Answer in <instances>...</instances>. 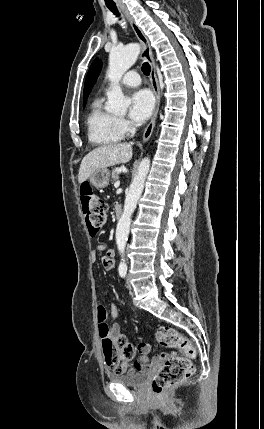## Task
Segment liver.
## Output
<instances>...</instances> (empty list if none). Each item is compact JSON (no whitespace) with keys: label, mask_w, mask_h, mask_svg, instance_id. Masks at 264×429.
<instances>
[{"label":"liver","mask_w":264,"mask_h":429,"mask_svg":"<svg viewBox=\"0 0 264 429\" xmlns=\"http://www.w3.org/2000/svg\"><path fill=\"white\" fill-rule=\"evenodd\" d=\"M131 158L132 145L130 143H114L95 148L83 158L79 168L78 181L82 183L94 171L120 163H127Z\"/></svg>","instance_id":"1"}]
</instances>
